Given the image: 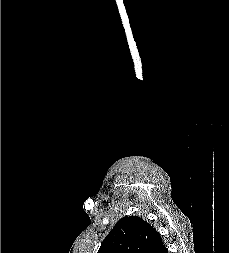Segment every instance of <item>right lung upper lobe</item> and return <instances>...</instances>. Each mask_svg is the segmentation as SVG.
Here are the masks:
<instances>
[{
  "instance_id": "1",
  "label": "right lung upper lobe",
  "mask_w": 229,
  "mask_h": 253,
  "mask_svg": "<svg viewBox=\"0 0 229 253\" xmlns=\"http://www.w3.org/2000/svg\"><path fill=\"white\" fill-rule=\"evenodd\" d=\"M160 234L137 216L121 218L103 240L98 253H166Z\"/></svg>"
}]
</instances>
